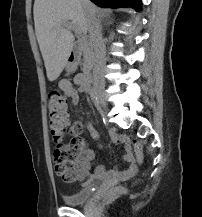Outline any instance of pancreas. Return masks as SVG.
<instances>
[{
  "label": "pancreas",
  "instance_id": "obj_1",
  "mask_svg": "<svg viewBox=\"0 0 202 217\" xmlns=\"http://www.w3.org/2000/svg\"><path fill=\"white\" fill-rule=\"evenodd\" d=\"M79 46L83 51V57H84L83 66L89 67L91 65V60H92L91 42L86 37H83L79 41Z\"/></svg>",
  "mask_w": 202,
  "mask_h": 217
}]
</instances>
